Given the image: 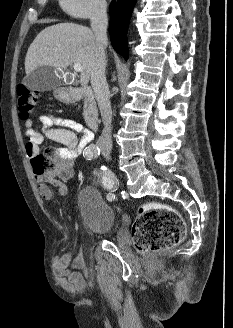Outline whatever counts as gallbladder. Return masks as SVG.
I'll use <instances>...</instances> for the list:
<instances>
[{
	"instance_id": "1",
	"label": "gallbladder",
	"mask_w": 233,
	"mask_h": 328,
	"mask_svg": "<svg viewBox=\"0 0 233 328\" xmlns=\"http://www.w3.org/2000/svg\"><path fill=\"white\" fill-rule=\"evenodd\" d=\"M58 72L52 66H40L26 75L23 84L33 91H50L62 84V80L56 75Z\"/></svg>"
}]
</instances>
